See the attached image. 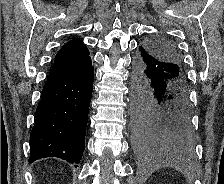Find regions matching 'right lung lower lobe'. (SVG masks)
<instances>
[{"instance_id": "obj_1", "label": "right lung lower lobe", "mask_w": 224, "mask_h": 184, "mask_svg": "<svg viewBox=\"0 0 224 184\" xmlns=\"http://www.w3.org/2000/svg\"><path fill=\"white\" fill-rule=\"evenodd\" d=\"M93 78L91 61L81 69L48 76L30 133V163L46 157L79 163L85 148Z\"/></svg>"}]
</instances>
